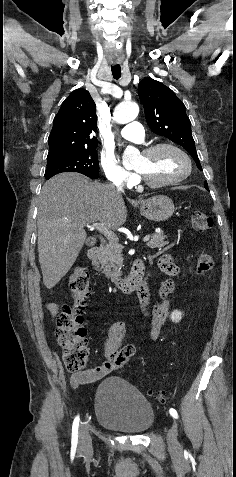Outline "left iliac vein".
Instances as JSON below:
<instances>
[{"instance_id":"4c4485c4","label":"left iliac vein","mask_w":236,"mask_h":477,"mask_svg":"<svg viewBox=\"0 0 236 477\" xmlns=\"http://www.w3.org/2000/svg\"><path fill=\"white\" fill-rule=\"evenodd\" d=\"M170 420H171V428L168 430V434H167V442H168V446L170 449H177L179 447V442H178V439H177V436H178V430H177V421H175V417L174 416H170Z\"/></svg>"}]
</instances>
